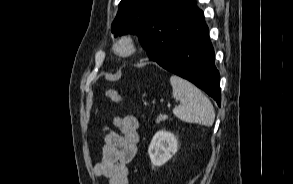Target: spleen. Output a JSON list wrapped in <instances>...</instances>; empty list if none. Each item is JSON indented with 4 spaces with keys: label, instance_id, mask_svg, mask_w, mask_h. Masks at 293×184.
I'll return each mask as SVG.
<instances>
[{
    "label": "spleen",
    "instance_id": "obj_1",
    "mask_svg": "<svg viewBox=\"0 0 293 184\" xmlns=\"http://www.w3.org/2000/svg\"><path fill=\"white\" fill-rule=\"evenodd\" d=\"M170 83L173 89L172 97L181 101V104L173 109L177 118L188 123L213 125L214 107L200 89L177 75L171 76Z\"/></svg>",
    "mask_w": 293,
    "mask_h": 184
}]
</instances>
